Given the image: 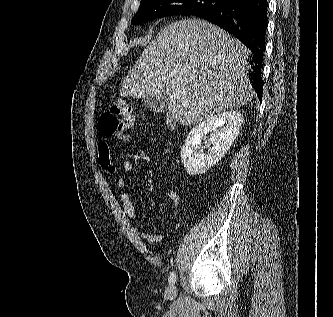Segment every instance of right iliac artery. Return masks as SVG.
<instances>
[{
	"label": "right iliac artery",
	"mask_w": 333,
	"mask_h": 317,
	"mask_svg": "<svg viewBox=\"0 0 333 317\" xmlns=\"http://www.w3.org/2000/svg\"><path fill=\"white\" fill-rule=\"evenodd\" d=\"M168 282L170 285H174L176 282V273L175 272H171L169 278H168Z\"/></svg>",
	"instance_id": "1"
}]
</instances>
